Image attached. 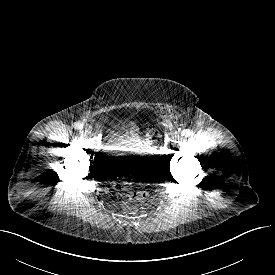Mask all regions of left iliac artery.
Listing matches in <instances>:
<instances>
[{
    "label": "left iliac artery",
    "instance_id": "1",
    "mask_svg": "<svg viewBox=\"0 0 275 275\" xmlns=\"http://www.w3.org/2000/svg\"><path fill=\"white\" fill-rule=\"evenodd\" d=\"M182 134H183V136L188 137V136L192 135V131L189 129H186V130H183Z\"/></svg>",
    "mask_w": 275,
    "mask_h": 275
}]
</instances>
